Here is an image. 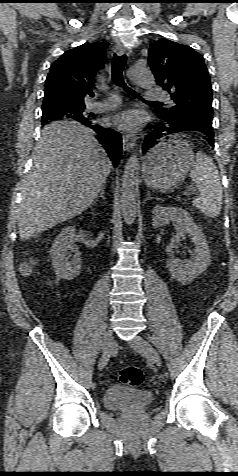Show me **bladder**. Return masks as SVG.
<instances>
[{"instance_id": "1", "label": "bladder", "mask_w": 238, "mask_h": 476, "mask_svg": "<svg viewBox=\"0 0 238 476\" xmlns=\"http://www.w3.org/2000/svg\"><path fill=\"white\" fill-rule=\"evenodd\" d=\"M153 399L147 389L113 385L104 392L103 404L110 411L139 410L149 406Z\"/></svg>"}]
</instances>
